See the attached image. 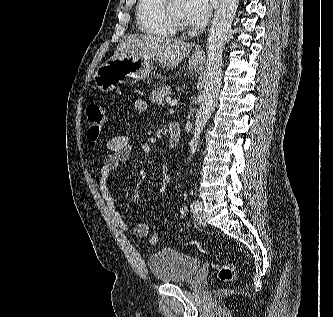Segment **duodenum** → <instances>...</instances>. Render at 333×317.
Returning a JSON list of instances; mask_svg holds the SVG:
<instances>
[{
	"mask_svg": "<svg viewBox=\"0 0 333 317\" xmlns=\"http://www.w3.org/2000/svg\"><path fill=\"white\" fill-rule=\"evenodd\" d=\"M169 147L174 149L178 146L181 139V126L177 122L168 124Z\"/></svg>",
	"mask_w": 333,
	"mask_h": 317,
	"instance_id": "obj_1",
	"label": "duodenum"
}]
</instances>
